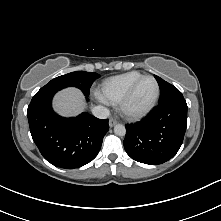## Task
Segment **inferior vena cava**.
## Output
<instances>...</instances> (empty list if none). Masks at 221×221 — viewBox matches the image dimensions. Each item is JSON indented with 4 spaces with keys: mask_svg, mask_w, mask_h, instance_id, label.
<instances>
[{
    "mask_svg": "<svg viewBox=\"0 0 221 221\" xmlns=\"http://www.w3.org/2000/svg\"><path fill=\"white\" fill-rule=\"evenodd\" d=\"M92 114L99 119H106L109 117L110 112L106 107L96 106L92 109Z\"/></svg>",
    "mask_w": 221,
    "mask_h": 221,
    "instance_id": "1",
    "label": "inferior vena cava"
}]
</instances>
